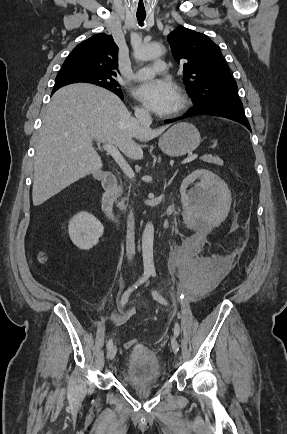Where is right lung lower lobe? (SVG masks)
<instances>
[{"label":"right lung lower lobe","instance_id":"right-lung-lower-lobe-1","mask_svg":"<svg viewBox=\"0 0 287 434\" xmlns=\"http://www.w3.org/2000/svg\"><path fill=\"white\" fill-rule=\"evenodd\" d=\"M122 100H123V94H121V95H118Z\"/></svg>","mask_w":287,"mask_h":434}]
</instances>
